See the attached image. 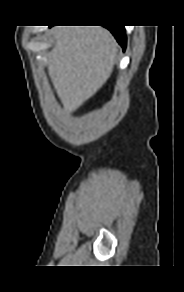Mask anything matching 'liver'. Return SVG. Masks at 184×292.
<instances>
[{"label": "liver", "mask_w": 184, "mask_h": 292, "mask_svg": "<svg viewBox=\"0 0 184 292\" xmlns=\"http://www.w3.org/2000/svg\"><path fill=\"white\" fill-rule=\"evenodd\" d=\"M50 52L48 72L64 108L76 111L110 77L117 43L100 26H59Z\"/></svg>", "instance_id": "6515ba94"}]
</instances>
